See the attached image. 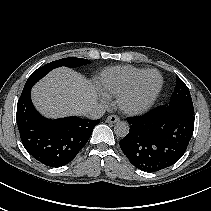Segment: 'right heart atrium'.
<instances>
[{"label":"right heart atrium","mask_w":211,"mask_h":211,"mask_svg":"<svg viewBox=\"0 0 211 211\" xmlns=\"http://www.w3.org/2000/svg\"><path fill=\"white\" fill-rule=\"evenodd\" d=\"M103 100L106 101L107 100V96L103 95Z\"/></svg>","instance_id":"d8ad5b80"}]
</instances>
